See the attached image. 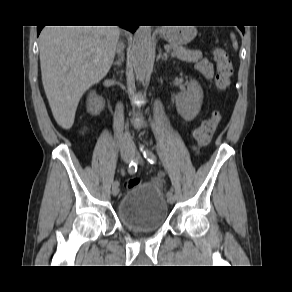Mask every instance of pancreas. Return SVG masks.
I'll list each match as a JSON object with an SVG mask.
<instances>
[{"label":"pancreas","mask_w":292,"mask_h":292,"mask_svg":"<svg viewBox=\"0 0 292 292\" xmlns=\"http://www.w3.org/2000/svg\"><path fill=\"white\" fill-rule=\"evenodd\" d=\"M168 49H172L175 53L176 57L180 60L187 61V62H198L202 59V52L201 51H193L188 50L180 46H166Z\"/></svg>","instance_id":"1"}]
</instances>
